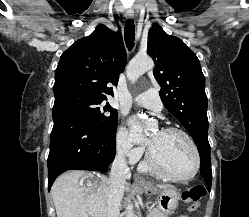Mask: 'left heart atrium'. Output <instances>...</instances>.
<instances>
[{
    "label": "left heart atrium",
    "mask_w": 249,
    "mask_h": 217,
    "mask_svg": "<svg viewBox=\"0 0 249 217\" xmlns=\"http://www.w3.org/2000/svg\"><path fill=\"white\" fill-rule=\"evenodd\" d=\"M131 127L134 140L137 142L144 141L141 125L136 117L131 118ZM149 143H152V139L149 140Z\"/></svg>",
    "instance_id": "39dd6f15"
}]
</instances>
